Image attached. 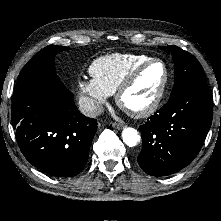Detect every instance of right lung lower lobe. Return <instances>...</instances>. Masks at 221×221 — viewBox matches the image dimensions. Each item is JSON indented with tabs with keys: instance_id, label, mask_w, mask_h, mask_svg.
<instances>
[{
	"instance_id": "98d812e1",
	"label": "right lung lower lobe",
	"mask_w": 221,
	"mask_h": 221,
	"mask_svg": "<svg viewBox=\"0 0 221 221\" xmlns=\"http://www.w3.org/2000/svg\"><path fill=\"white\" fill-rule=\"evenodd\" d=\"M12 124L26 159L55 177L77 175L88 160L97 122L81 114L66 87L46 86L12 100Z\"/></svg>"
}]
</instances>
